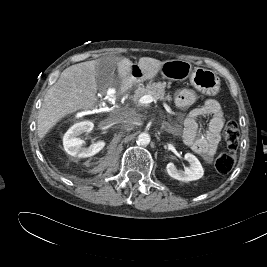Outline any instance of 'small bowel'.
Instances as JSON below:
<instances>
[{"label":"small bowel","mask_w":267,"mask_h":267,"mask_svg":"<svg viewBox=\"0 0 267 267\" xmlns=\"http://www.w3.org/2000/svg\"><path fill=\"white\" fill-rule=\"evenodd\" d=\"M196 99L193 90H183L175 96L174 103L178 108H186ZM205 116H209L210 121L207 130L203 132L200 119ZM223 125L224 117L219 102L208 99L202 106L193 109L185 119L183 141L195 153L210 161L217 151Z\"/></svg>","instance_id":"small-bowel-1"}]
</instances>
